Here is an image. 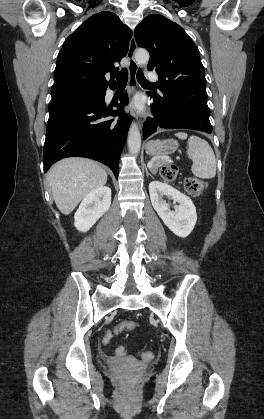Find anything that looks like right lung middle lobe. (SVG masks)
<instances>
[{
	"instance_id": "1",
	"label": "right lung middle lobe",
	"mask_w": 264,
	"mask_h": 419,
	"mask_svg": "<svg viewBox=\"0 0 264 419\" xmlns=\"http://www.w3.org/2000/svg\"><path fill=\"white\" fill-rule=\"evenodd\" d=\"M102 91H77V92H69L66 94H63L61 96H59L56 99H65V98H74V97H78V96H96L99 93H101Z\"/></svg>"
}]
</instances>
